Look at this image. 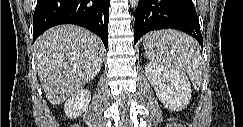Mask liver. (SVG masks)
Here are the masks:
<instances>
[{
    "instance_id": "liver-1",
    "label": "liver",
    "mask_w": 243,
    "mask_h": 127,
    "mask_svg": "<svg viewBox=\"0 0 243 127\" xmlns=\"http://www.w3.org/2000/svg\"><path fill=\"white\" fill-rule=\"evenodd\" d=\"M36 65L47 99L58 105L99 73L103 46L92 32L75 25H60L35 42Z\"/></svg>"
}]
</instances>
